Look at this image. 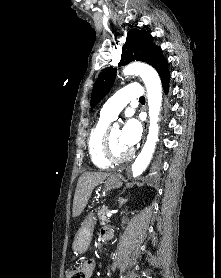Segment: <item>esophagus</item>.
<instances>
[{
	"label": "esophagus",
	"instance_id": "obj_1",
	"mask_svg": "<svg viewBox=\"0 0 221 278\" xmlns=\"http://www.w3.org/2000/svg\"><path fill=\"white\" fill-rule=\"evenodd\" d=\"M147 127H148V120H146L144 123V134H146L147 132Z\"/></svg>",
	"mask_w": 221,
	"mask_h": 278
}]
</instances>
